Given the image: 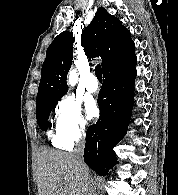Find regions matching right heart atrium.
<instances>
[{
	"label": "right heart atrium",
	"instance_id": "1",
	"mask_svg": "<svg viewBox=\"0 0 178 195\" xmlns=\"http://www.w3.org/2000/svg\"><path fill=\"white\" fill-rule=\"evenodd\" d=\"M87 123L81 103L73 96L63 97L57 107L54 138L60 146H70L84 139Z\"/></svg>",
	"mask_w": 178,
	"mask_h": 195
}]
</instances>
